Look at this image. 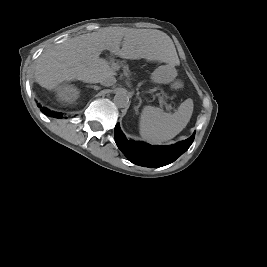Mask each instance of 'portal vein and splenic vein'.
Here are the masks:
<instances>
[{"instance_id":"1","label":"portal vein and splenic vein","mask_w":267,"mask_h":267,"mask_svg":"<svg viewBox=\"0 0 267 267\" xmlns=\"http://www.w3.org/2000/svg\"><path fill=\"white\" fill-rule=\"evenodd\" d=\"M97 65L102 66V67H108L107 64H103V63H101V62H99ZM110 65H111V67H112L114 70H118V69H119V66H118L116 63H112V64H110Z\"/></svg>"}]
</instances>
